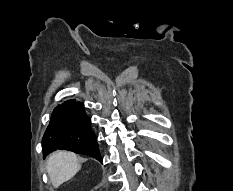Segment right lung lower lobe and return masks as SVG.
<instances>
[{"mask_svg": "<svg viewBox=\"0 0 233 191\" xmlns=\"http://www.w3.org/2000/svg\"><path fill=\"white\" fill-rule=\"evenodd\" d=\"M83 106L73 99L54 109L42 139L44 154L57 149H66L95 157L102 163L97 139L91 130L90 118Z\"/></svg>", "mask_w": 233, "mask_h": 191, "instance_id": "right-lung-lower-lobe-1", "label": "right lung lower lobe"}]
</instances>
